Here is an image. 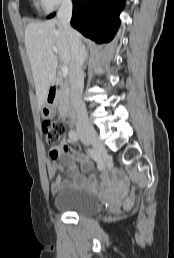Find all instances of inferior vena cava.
<instances>
[{"mask_svg":"<svg viewBox=\"0 0 174 258\" xmlns=\"http://www.w3.org/2000/svg\"><path fill=\"white\" fill-rule=\"evenodd\" d=\"M73 4L71 0H64L58 13L57 19L62 25L68 38L71 61H70V84L71 103L76 111V128L78 132L93 131L89 122L85 104L82 101V91L84 86L82 66L86 57L84 45H82L78 33L70 26Z\"/></svg>","mask_w":174,"mask_h":258,"instance_id":"602c4592","label":"inferior vena cava"}]
</instances>
